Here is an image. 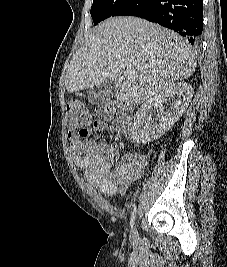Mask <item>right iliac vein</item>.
Returning <instances> with one entry per match:
<instances>
[{"label":"right iliac vein","instance_id":"1","mask_svg":"<svg viewBox=\"0 0 227 267\" xmlns=\"http://www.w3.org/2000/svg\"><path fill=\"white\" fill-rule=\"evenodd\" d=\"M131 236L133 238L137 236V230L135 228H133V230L131 231Z\"/></svg>","mask_w":227,"mask_h":267}]
</instances>
